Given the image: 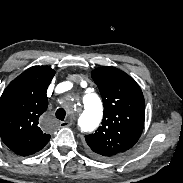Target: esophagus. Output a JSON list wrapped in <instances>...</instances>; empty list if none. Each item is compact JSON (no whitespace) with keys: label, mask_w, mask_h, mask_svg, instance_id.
I'll use <instances>...</instances> for the list:
<instances>
[{"label":"esophagus","mask_w":183,"mask_h":183,"mask_svg":"<svg viewBox=\"0 0 183 183\" xmlns=\"http://www.w3.org/2000/svg\"><path fill=\"white\" fill-rule=\"evenodd\" d=\"M71 125H72L71 121H62V122H60L61 127H69Z\"/></svg>","instance_id":"esophagus-1"}]
</instances>
